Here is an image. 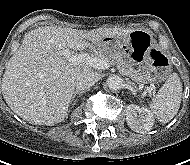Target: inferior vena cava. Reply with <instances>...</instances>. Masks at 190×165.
Returning a JSON list of instances; mask_svg holds the SVG:
<instances>
[{
    "label": "inferior vena cava",
    "mask_w": 190,
    "mask_h": 165,
    "mask_svg": "<svg viewBox=\"0 0 190 165\" xmlns=\"http://www.w3.org/2000/svg\"><path fill=\"white\" fill-rule=\"evenodd\" d=\"M99 80V75L94 71H84L75 80V87L79 91H84L93 86Z\"/></svg>",
    "instance_id": "obj_1"
}]
</instances>
